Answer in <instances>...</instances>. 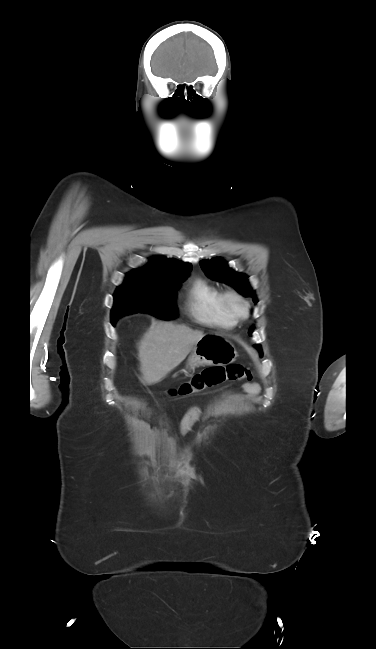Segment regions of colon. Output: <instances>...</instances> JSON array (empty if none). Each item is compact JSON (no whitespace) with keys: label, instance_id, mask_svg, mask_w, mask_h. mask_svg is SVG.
I'll return each mask as SVG.
<instances>
[{"label":"colon","instance_id":"colon-1","mask_svg":"<svg viewBox=\"0 0 376 649\" xmlns=\"http://www.w3.org/2000/svg\"><path fill=\"white\" fill-rule=\"evenodd\" d=\"M252 373L246 366L233 363L227 366L206 367L188 380L168 390V395L175 398L188 397L225 381L250 380Z\"/></svg>","mask_w":376,"mask_h":649}]
</instances>
